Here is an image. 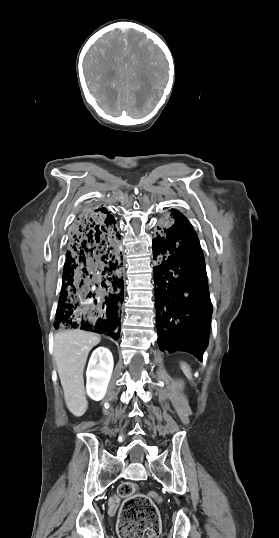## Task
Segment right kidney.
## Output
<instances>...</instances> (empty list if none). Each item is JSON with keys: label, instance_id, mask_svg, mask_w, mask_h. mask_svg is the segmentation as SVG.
Listing matches in <instances>:
<instances>
[{"label": "right kidney", "instance_id": "right-kidney-1", "mask_svg": "<svg viewBox=\"0 0 279 538\" xmlns=\"http://www.w3.org/2000/svg\"><path fill=\"white\" fill-rule=\"evenodd\" d=\"M113 370V356L107 348L94 350L88 364L87 394L92 400H102L106 394Z\"/></svg>", "mask_w": 279, "mask_h": 538}]
</instances>
